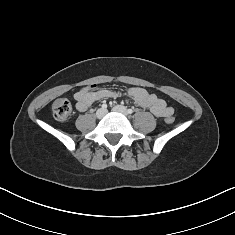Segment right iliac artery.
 Listing matches in <instances>:
<instances>
[{
	"label": "right iliac artery",
	"instance_id": "obj_1",
	"mask_svg": "<svg viewBox=\"0 0 235 235\" xmlns=\"http://www.w3.org/2000/svg\"><path fill=\"white\" fill-rule=\"evenodd\" d=\"M102 109H105V110H106V109H107V104H103V105H102Z\"/></svg>",
	"mask_w": 235,
	"mask_h": 235
}]
</instances>
